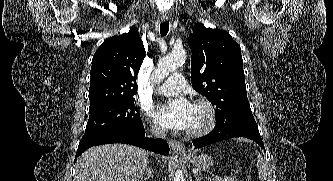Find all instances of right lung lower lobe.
<instances>
[{
	"mask_svg": "<svg viewBox=\"0 0 333 181\" xmlns=\"http://www.w3.org/2000/svg\"><path fill=\"white\" fill-rule=\"evenodd\" d=\"M107 143L131 144L159 153L161 155H168L170 150L165 140L145 138V130L142 124L140 127H137L125 133L109 134L105 136L81 140L78 146L76 158L80 156L86 149L92 146Z\"/></svg>",
	"mask_w": 333,
	"mask_h": 181,
	"instance_id": "right-lung-lower-lobe-1",
	"label": "right lung lower lobe"
}]
</instances>
